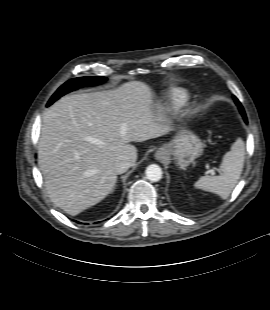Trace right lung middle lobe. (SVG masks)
Listing matches in <instances>:
<instances>
[{
	"instance_id": "dd1d6c3e",
	"label": "right lung middle lobe",
	"mask_w": 270,
	"mask_h": 310,
	"mask_svg": "<svg viewBox=\"0 0 270 310\" xmlns=\"http://www.w3.org/2000/svg\"><path fill=\"white\" fill-rule=\"evenodd\" d=\"M106 78L104 77H80V78H75L67 81L65 84H63L56 92L55 94L51 97V99L48 102V106L51 105L54 101L59 99L61 96L64 94L75 90L80 87L84 86H91V85H97L102 82H104Z\"/></svg>"
}]
</instances>
